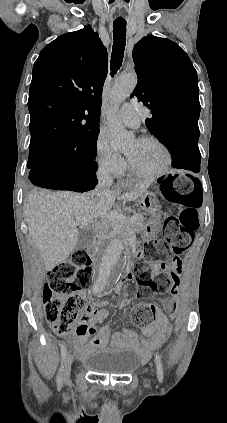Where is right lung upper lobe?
Listing matches in <instances>:
<instances>
[{"mask_svg": "<svg viewBox=\"0 0 227 423\" xmlns=\"http://www.w3.org/2000/svg\"><path fill=\"white\" fill-rule=\"evenodd\" d=\"M107 50L88 25L48 44L30 84L29 154L73 146L99 132Z\"/></svg>", "mask_w": 227, "mask_h": 423, "instance_id": "cb5924a9", "label": "right lung upper lobe"}]
</instances>
